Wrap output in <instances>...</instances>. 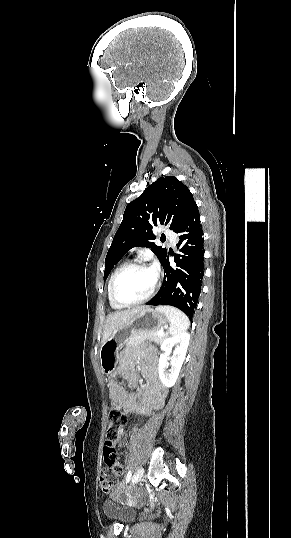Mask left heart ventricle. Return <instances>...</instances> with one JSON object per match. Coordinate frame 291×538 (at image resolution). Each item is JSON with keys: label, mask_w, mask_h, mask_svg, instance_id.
Listing matches in <instances>:
<instances>
[{"label": "left heart ventricle", "mask_w": 291, "mask_h": 538, "mask_svg": "<svg viewBox=\"0 0 291 538\" xmlns=\"http://www.w3.org/2000/svg\"><path fill=\"white\" fill-rule=\"evenodd\" d=\"M154 273L148 269H134L125 273L118 281L116 294L120 301L138 300L151 290Z\"/></svg>", "instance_id": "1"}]
</instances>
